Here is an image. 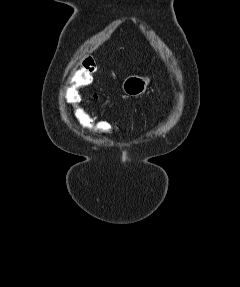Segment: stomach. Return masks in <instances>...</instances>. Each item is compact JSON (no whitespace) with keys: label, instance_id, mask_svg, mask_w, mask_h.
<instances>
[{"label":"stomach","instance_id":"1","mask_svg":"<svg viewBox=\"0 0 240 287\" xmlns=\"http://www.w3.org/2000/svg\"><path fill=\"white\" fill-rule=\"evenodd\" d=\"M150 79L138 75H131L124 79L122 90L129 97H137L142 95L149 85Z\"/></svg>","mask_w":240,"mask_h":287}]
</instances>
